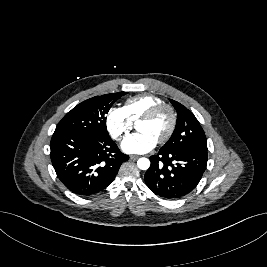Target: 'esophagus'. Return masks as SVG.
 I'll use <instances>...</instances> for the list:
<instances>
[{"label": "esophagus", "instance_id": "1", "mask_svg": "<svg viewBox=\"0 0 267 267\" xmlns=\"http://www.w3.org/2000/svg\"><path fill=\"white\" fill-rule=\"evenodd\" d=\"M138 158H139L138 155H131V156H130V159H131V160H137Z\"/></svg>", "mask_w": 267, "mask_h": 267}]
</instances>
